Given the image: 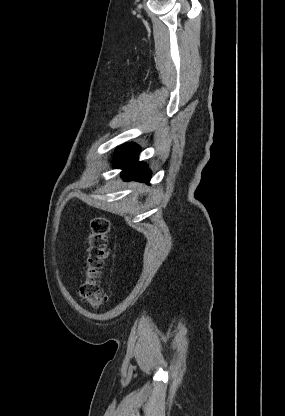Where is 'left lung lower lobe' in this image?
I'll return each instance as SVG.
<instances>
[{"label": "left lung lower lobe", "mask_w": 285, "mask_h": 416, "mask_svg": "<svg viewBox=\"0 0 285 416\" xmlns=\"http://www.w3.org/2000/svg\"><path fill=\"white\" fill-rule=\"evenodd\" d=\"M139 150V147L134 143H126L116 148L113 164L115 168L124 169L121 174L124 180L149 181L150 171L143 163L137 162Z\"/></svg>", "instance_id": "1"}]
</instances>
